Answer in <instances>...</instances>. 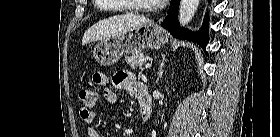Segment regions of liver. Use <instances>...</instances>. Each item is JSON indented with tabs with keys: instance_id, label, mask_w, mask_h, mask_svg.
<instances>
[{
	"instance_id": "liver-1",
	"label": "liver",
	"mask_w": 280,
	"mask_h": 137,
	"mask_svg": "<svg viewBox=\"0 0 280 137\" xmlns=\"http://www.w3.org/2000/svg\"><path fill=\"white\" fill-rule=\"evenodd\" d=\"M150 23H152L150 19L133 13L109 17L95 23L85 31L82 45L96 40L108 39L123 31Z\"/></svg>"
}]
</instances>
